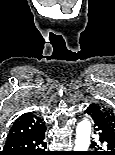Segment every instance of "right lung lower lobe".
<instances>
[{
    "instance_id": "98d812e1",
    "label": "right lung lower lobe",
    "mask_w": 115,
    "mask_h": 155,
    "mask_svg": "<svg viewBox=\"0 0 115 155\" xmlns=\"http://www.w3.org/2000/svg\"><path fill=\"white\" fill-rule=\"evenodd\" d=\"M46 129L21 139L7 141L0 155H51L46 151Z\"/></svg>"
}]
</instances>
